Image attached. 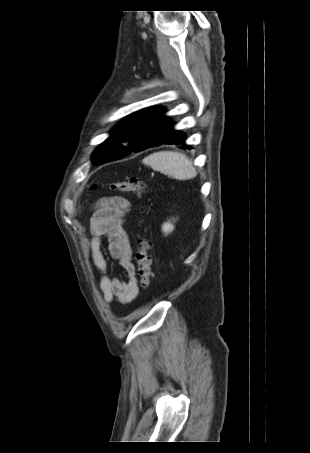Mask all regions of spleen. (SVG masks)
<instances>
[{
    "mask_svg": "<svg viewBox=\"0 0 310 453\" xmlns=\"http://www.w3.org/2000/svg\"><path fill=\"white\" fill-rule=\"evenodd\" d=\"M143 163L177 180H188L197 174L192 161L185 154L176 151L155 152L144 158Z\"/></svg>",
    "mask_w": 310,
    "mask_h": 453,
    "instance_id": "obj_1",
    "label": "spleen"
}]
</instances>
